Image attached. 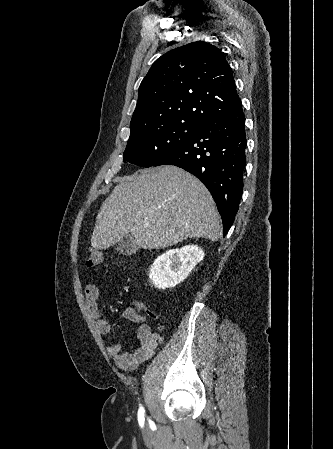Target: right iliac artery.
I'll use <instances>...</instances> for the list:
<instances>
[{
	"label": "right iliac artery",
	"instance_id": "right-iliac-artery-1",
	"mask_svg": "<svg viewBox=\"0 0 333 449\" xmlns=\"http://www.w3.org/2000/svg\"><path fill=\"white\" fill-rule=\"evenodd\" d=\"M144 414H145V410H144V408L141 406V407L139 408V411H138V421H139V424H140V425H143V424H144Z\"/></svg>",
	"mask_w": 333,
	"mask_h": 449
}]
</instances>
